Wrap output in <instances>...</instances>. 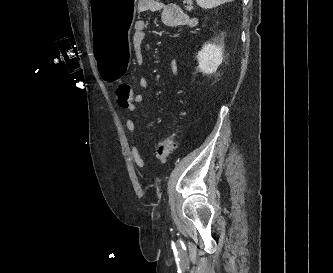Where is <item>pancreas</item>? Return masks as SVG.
Instances as JSON below:
<instances>
[{
  "label": "pancreas",
  "mask_w": 333,
  "mask_h": 273,
  "mask_svg": "<svg viewBox=\"0 0 333 273\" xmlns=\"http://www.w3.org/2000/svg\"><path fill=\"white\" fill-rule=\"evenodd\" d=\"M184 2V4H187L185 7H186V9L188 10V11H191L192 10V0H184L183 1Z\"/></svg>",
  "instance_id": "cf45deb5"
}]
</instances>
